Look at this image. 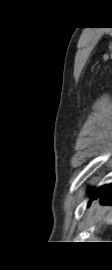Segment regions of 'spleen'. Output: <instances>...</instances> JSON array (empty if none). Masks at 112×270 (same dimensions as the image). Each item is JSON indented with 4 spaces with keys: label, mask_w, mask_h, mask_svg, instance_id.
Returning <instances> with one entry per match:
<instances>
[{
    "label": "spleen",
    "mask_w": 112,
    "mask_h": 270,
    "mask_svg": "<svg viewBox=\"0 0 112 270\" xmlns=\"http://www.w3.org/2000/svg\"><path fill=\"white\" fill-rule=\"evenodd\" d=\"M107 222L112 224V218L109 217V218L107 219Z\"/></svg>",
    "instance_id": "obj_1"
}]
</instances>
